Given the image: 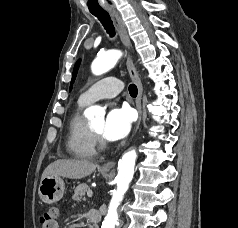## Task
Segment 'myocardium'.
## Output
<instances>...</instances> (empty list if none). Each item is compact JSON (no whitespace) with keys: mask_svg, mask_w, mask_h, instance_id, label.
Instances as JSON below:
<instances>
[{"mask_svg":"<svg viewBox=\"0 0 238 228\" xmlns=\"http://www.w3.org/2000/svg\"><path fill=\"white\" fill-rule=\"evenodd\" d=\"M90 130H91L96 148H98L99 150H104L107 147V143L104 140L103 136L97 131H95L92 127H90Z\"/></svg>","mask_w":238,"mask_h":228,"instance_id":"obj_1","label":"myocardium"}]
</instances>
